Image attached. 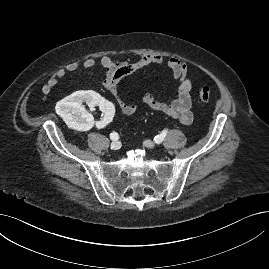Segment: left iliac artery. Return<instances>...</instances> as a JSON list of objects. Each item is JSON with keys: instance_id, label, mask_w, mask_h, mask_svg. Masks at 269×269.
<instances>
[{"instance_id": "left-iliac-artery-1", "label": "left iliac artery", "mask_w": 269, "mask_h": 269, "mask_svg": "<svg viewBox=\"0 0 269 269\" xmlns=\"http://www.w3.org/2000/svg\"><path fill=\"white\" fill-rule=\"evenodd\" d=\"M166 134H167V129L163 130L159 135L155 136L154 137L155 143L160 144L166 137Z\"/></svg>"}]
</instances>
